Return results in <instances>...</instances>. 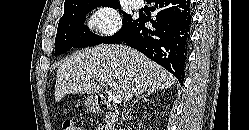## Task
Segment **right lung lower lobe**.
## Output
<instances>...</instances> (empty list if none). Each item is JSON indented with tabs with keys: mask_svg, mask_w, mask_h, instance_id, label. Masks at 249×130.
<instances>
[{
	"mask_svg": "<svg viewBox=\"0 0 249 130\" xmlns=\"http://www.w3.org/2000/svg\"><path fill=\"white\" fill-rule=\"evenodd\" d=\"M153 2L158 11L156 18L140 15L120 41L163 66L183 83L192 18L190 1ZM146 22H151L153 28L147 29Z\"/></svg>",
	"mask_w": 249,
	"mask_h": 130,
	"instance_id": "98d812e1",
	"label": "right lung lower lobe"
}]
</instances>
